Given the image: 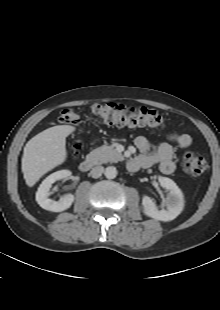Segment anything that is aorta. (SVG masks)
<instances>
[{
    "label": "aorta",
    "instance_id": "762f6f07",
    "mask_svg": "<svg viewBox=\"0 0 220 310\" xmlns=\"http://www.w3.org/2000/svg\"><path fill=\"white\" fill-rule=\"evenodd\" d=\"M105 176L108 179H114L117 176V169L114 166H109L105 170Z\"/></svg>",
    "mask_w": 220,
    "mask_h": 310
}]
</instances>
